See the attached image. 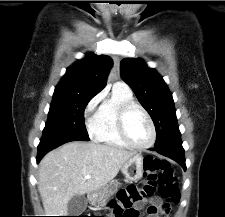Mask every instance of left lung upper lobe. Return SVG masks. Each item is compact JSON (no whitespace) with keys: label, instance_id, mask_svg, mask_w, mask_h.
Segmentation results:
<instances>
[{"label":"left lung upper lobe","instance_id":"1","mask_svg":"<svg viewBox=\"0 0 225 217\" xmlns=\"http://www.w3.org/2000/svg\"><path fill=\"white\" fill-rule=\"evenodd\" d=\"M121 76L155 124L157 139L154 147L179 140L181 134L172 93L162 77L139 58H124L121 61Z\"/></svg>","mask_w":225,"mask_h":217}]
</instances>
